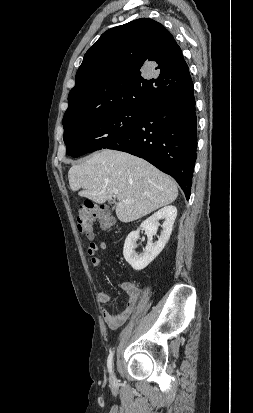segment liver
I'll return each mask as SVG.
<instances>
[{
	"mask_svg": "<svg viewBox=\"0 0 253 413\" xmlns=\"http://www.w3.org/2000/svg\"><path fill=\"white\" fill-rule=\"evenodd\" d=\"M72 191L96 203L111 199L114 189L118 202L112 208L121 222L128 223L172 203L177 185L146 160L126 152L105 149L92 154L68 171ZM130 200L126 203L124 200Z\"/></svg>",
	"mask_w": 253,
	"mask_h": 413,
	"instance_id": "liver-1",
	"label": "liver"
}]
</instances>
